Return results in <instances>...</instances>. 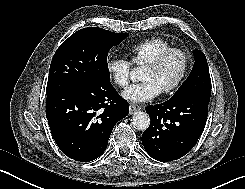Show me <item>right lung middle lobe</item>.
Masks as SVG:
<instances>
[{"mask_svg":"<svg viewBox=\"0 0 245 189\" xmlns=\"http://www.w3.org/2000/svg\"><path fill=\"white\" fill-rule=\"evenodd\" d=\"M128 33L87 27L65 40L55 52L49 70L47 97L110 79L107 55Z\"/></svg>","mask_w":245,"mask_h":189,"instance_id":"obj_1","label":"right lung middle lobe"}]
</instances>
